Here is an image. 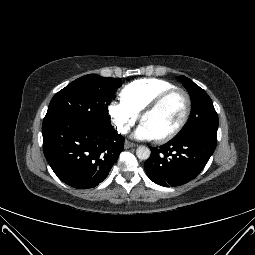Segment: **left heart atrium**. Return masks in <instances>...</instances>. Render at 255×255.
I'll return each instance as SVG.
<instances>
[{
  "instance_id": "1",
  "label": "left heart atrium",
  "mask_w": 255,
  "mask_h": 255,
  "mask_svg": "<svg viewBox=\"0 0 255 255\" xmlns=\"http://www.w3.org/2000/svg\"><path fill=\"white\" fill-rule=\"evenodd\" d=\"M133 137L138 140H153L157 138L150 127L144 122L138 126L137 130L133 134Z\"/></svg>"
}]
</instances>
